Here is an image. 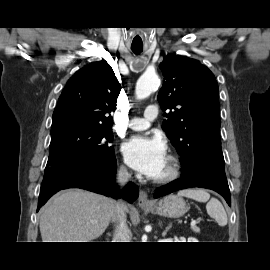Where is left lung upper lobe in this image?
<instances>
[{"instance_id":"obj_1","label":"left lung upper lobe","mask_w":270,"mask_h":270,"mask_svg":"<svg viewBox=\"0 0 270 270\" xmlns=\"http://www.w3.org/2000/svg\"><path fill=\"white\" fill-rule=\"evenodd\" d=\"M164 84L158 101L165 113L162 129L181 156V166L200 158L223 157L218 85L199 61L169 54L159 65Z\"/></svg>"}]
</instances>
